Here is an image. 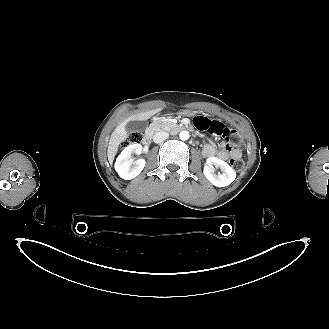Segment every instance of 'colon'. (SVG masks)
<instances>
[{
    "label": "colon",
    "instance_id": "1",
    "mask_svg": "<svg viewBox=\"0 0 329 329\" xmlns=\"http://www.w3.org/2000/svg\"><path fill=\"white\" fill-rule=\"evenodd\" d=\"M201 116V115H200ZM142 139V134L139 131L131 132L127 139L124 141L122 146L132 145L139 143ZM227 147H230L231 145L236 147H242L244 145L243 140L240 136L235 135L233 132L230 135V140L227 143H224ZM230 165L233 169L239 171L244 167V162L240 158H231Z\"/></svg>",
    "mask_w": 329,
    "mask_h": 329
}]
</instances>
